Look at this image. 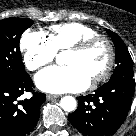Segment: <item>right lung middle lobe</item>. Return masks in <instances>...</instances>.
I'll use <instances>...</instances> for the list:
<instances>
[{
    "label": "right lung middle lobe",
    "instance_id": "1",
    "mask_svg": "<svg viewBox=\"0 0 136 136\" xmlns=\"http://www.w3.org/2000/svg\"><path fill=\"white\" fill-rule=\"evenodd\" d=\"M33 24L28 18H7L0 21V83L17 81L27 73L22 63L19 41Z\"/></svg>",
    "mask_w": 136,
    "mask_h": 136
}]
</instances>
